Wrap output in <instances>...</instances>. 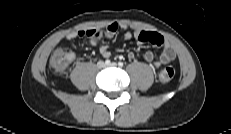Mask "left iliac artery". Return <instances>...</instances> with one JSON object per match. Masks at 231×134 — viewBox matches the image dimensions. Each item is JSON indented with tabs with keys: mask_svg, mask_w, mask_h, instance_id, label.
Wrapping results in <instances>:
<instances>
[{
	"mask_svg": "<svg viewBox=\"0 0 231 134\" xmlns=\"http://www.w3.org/2000/svg\"><path fill=\"white\" fill-rule=\"evenodd\" d=\"M118 65H119L120 67H123V62H119Z\"/></svg>",
	"mask_w": 231,
	"mask_h": 134,
	"instance_id": "left-iliac-artery-1",
	"label": "left iliac artery"
}]
</instances>
